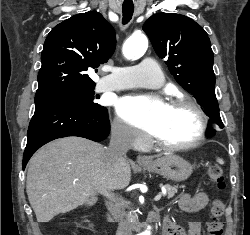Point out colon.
Returning a JSON list of instances; mask_svg holds the SVG:
<instances>
[{
  "label": "colon",
  "mask_w": 250,
  "mask_h": 235,
  "mask_svg": "<svg viewBox=\"0 0 250 235\" xmlns=\"http://www.w3.org/2000/svg\"><path fill=\"white\" fill-rule=\"evenodd\" d=\"M208 180L219 190L223 189L224 183V173L222 167L218 163H211L207 168ZM224 212L223 203L215 199L209 208V220L207 222V229L209 235H222L223 233V222L221 217Z\"/></svg>",
  "instance_id": "obj_1"
}]
</instances>
